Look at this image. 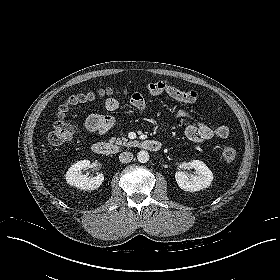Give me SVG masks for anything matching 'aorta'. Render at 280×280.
<instances>
[{
  "mask_svg": "<svg viewBox=\"0 0 280 280\" xmlns=\"http://www.w3.org/2000/svg\"><path fill=\"white\" fill-rule=\"evenodd\" d=\"M137 160L140 163H146L149 160V153L145 150H142L137 153Z\"/></svg>",
  "mask_w": 280,
  "mask_h": 280,
  "instance_id": "762f6f07",
  "label": "aorta"
}]
</instances>
